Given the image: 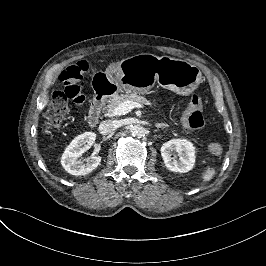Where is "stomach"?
Here are the masks:
<instances>
[{"mask_svg": "<svg viewBox=\"0 0 266 266\" xmlns=\"http://www.w3.org/2000/svg\"><path fill=\"white\" fill-rule=\"evenodd\" d=\"M157 60L159 67L153 74L147 72L143 75L141 71H137L130 79L129 75L126 76L122 71L118 77L105 73L112 91L105 95L116 98L117 91L122 88L130 93L143 94L158 82L161 87L187 97L202 81L201 70L189 62L167 56Z\"/></svg>", "mask_w": 266, "mask_h": 266, "instance_id": "0dacf381", "label": "stomach"}]
</instances>
